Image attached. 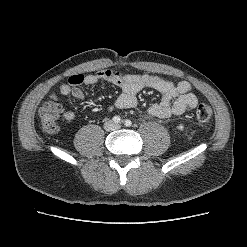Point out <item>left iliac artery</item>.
Masks as SVG:
<instances>
[{"label":"left iliac artery","instance_id":"44dca946","mask_svg":"<svg viewBox=\"0 0 247 247\" xmlns=\"http://www.w3.org/2000/svg\"><path fill=\"white\" fill-rule=\"evenodd\" d=\"M125 126L130 127L132 125V122L130 120H125L124 122Z\"/></svg>","mask_w":247,"mask_h":247}]
</instances>
